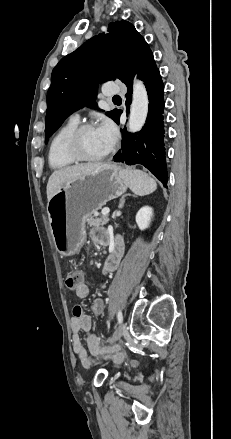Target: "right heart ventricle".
<instances>
[{
  "label": "right heart ventricle",
  "instance_id": "right-heart-ventricle-1",
  "mask_svg": "<svg viewBox=\"0 0 231 439\" xmlns=\"http://www.w3.org/2000/svg\"><path fill=\"white\" fill-rule=\"evenodd\" d=\"M78 125V121L70 119L63 124L53 136L48 148V164L54 170H62L76 163L65 151L67 135Z\"/></svg>",
  "mask_w": 231,
  "mask_h": 439
}]
</instances>
